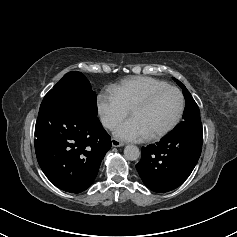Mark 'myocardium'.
I'll return each mask as SVG.
<instances>
[{
    "instance_id": "1",
    "label": "myocardium",
    "mask_w": 237,
    "mask_h": 237,
    "mask_svg": "<svg viewBox=\"0 0 237 237\" xmlns=\"http://www.w3.org/2000/svg\"><path fill=\"white\" fill-rule=\"evenodd\" d=\"M166 90H173L178 94L179 101H180L179 108H178V111H177L175 117L172 119V121L165 128L146 137V139L149 141H153V140L162 138L178 124V122L180 121V119L183 115L184 107H185V99H184L183 93L181 92L180 89H178L175 86L166 85L163 87H159V88L151 90L146 95H144L142 98L137 100L129 109V115H130L131 112L134 111L135 109L143 108V107L147 106L158 94H160L161 92L166 91Z\"/></svg>"
}]
</instances>
